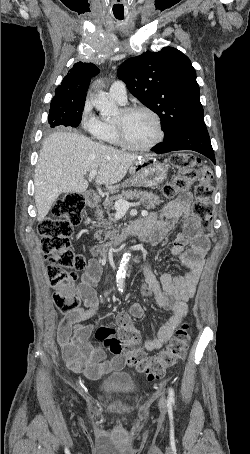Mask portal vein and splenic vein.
<instances>
[{"label":"portal vein and splenic vein","instance_id":"1","mask_svg":"<svg viewBox=\"0 0 250 454\" xmlns=\"http://www.w3.org/2000/svg\"><path fill=\"white\" fill-rule=\"evenodd\" d=\"M97 175V171L96 170H92L90 171L89 173V179H94ZM130 203L128 201H126L125 199H118L115 201L114 203V209L116 210V212L118 214H124L127 212V210L129 209L130 207Z\"/></svg>","mask_w":250,"mask_h":454}]
</instances>
